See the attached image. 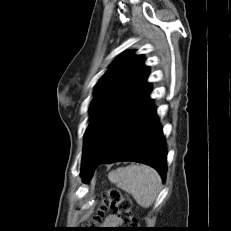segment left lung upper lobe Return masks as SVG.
I'll list each match as a JSON object with an SVG mask.
<instances>
[{
    "mask_svg": "<svg viewBox=\"0 0 231 231\" xmlns=\"http://www.w3.org/2000/svg\"><path fill=\"white\" fill-rule=\"evenodd\" d=\"M126 52L112 63L94 91L90 122L84 136L82 164L112 119L146 83L149 69L142 55Z\"/></svg>",
    "mask_w": 231,
    "mask_h": 231,
    "instance_id": "5c2ea615",
    "label": "left lung upper lobe"
}]
</instances>
